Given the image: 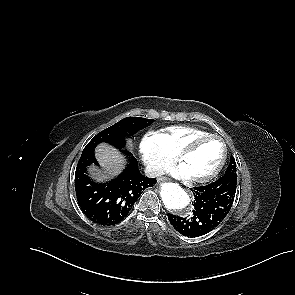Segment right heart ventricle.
Listing matches in <instances>:
<instances>
[{"label": "right heart ventricle", "instance_id": "e07e8e85", "mask_svg": "<svg viewBox=\"0 0 295 295\" xmlns=\"http://www.w3.org/2000/svg\"><path fill=\"white\" fill-rule=\"evenodd\" d=\"M208 133L197 127L183 125L166 127L158 132L164 147L175 156L193 138Z\"/></svg>", "mask_w": 295, "mask_h": 295}]
</instances>
